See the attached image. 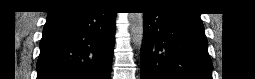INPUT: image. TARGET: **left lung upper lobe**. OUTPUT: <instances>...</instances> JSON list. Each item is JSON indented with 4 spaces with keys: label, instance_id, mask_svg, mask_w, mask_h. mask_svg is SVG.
Returning a JSON list of instances; mask_svg holds the SVG:
<instances>
[{
    "label": "left lung upper lobe",
    "instance_id": "left-lung-upper-lobe-1",
    "mask_svg": "<svg viewBox=\"0 0 255 79\" xmlns=\"http://www.w3.org/2000/svg\"><path fill=\"white\" fill-rule=\"evenodd\" d=\"M164 2H167V3H172V2H174V1H171V0H167V1H164Z\"/></svg>",
    "mask_w": 255,
    "mask_h": 79
}]
</instances>
